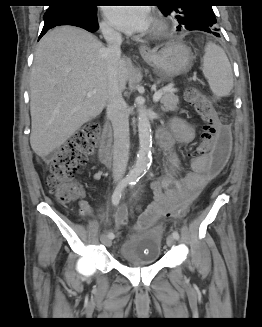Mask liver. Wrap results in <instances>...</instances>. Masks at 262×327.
I'll return each mask as SVG.
<instances>
[{
	"label": "liver",
	"instance_id": "liver-1",
	"mask_svg": "<svg viewBox=\"0 0 262 327\" xmlns=\"http://www.w3.org/2000/svg\"><path fill=\"white\" fill-rule=\"evenodd\" d=\"M105 50L97 37L71 26L55 28L39 42L30 78V144L41 158L60 148L107 105ZM128 72V62L120 58L121 92Z\"/></svg>",
	"mask_w": 262,
	"mask_h": 327
}]
</instances>
